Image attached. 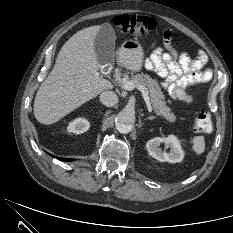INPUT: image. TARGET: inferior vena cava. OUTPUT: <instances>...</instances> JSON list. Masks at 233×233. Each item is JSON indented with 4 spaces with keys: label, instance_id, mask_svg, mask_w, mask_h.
<instances>
[{
    "label": "inferior vena cava",
    "instance_id": "1",
    "mask_svg": "<svg viewBox=\"0 0 233 233\" xmlns=\"http://www.w3.org/2000/svg\"><path fill=\"white\" fill-rule=\"evenodd\" d=\"M99 99L100 102L107 107H113L119 101L117 94L113 91L102 92L99 96Z\"/></svg>",
    "mask_w": 233,
    "mask_h": 233
}]
</instances>
